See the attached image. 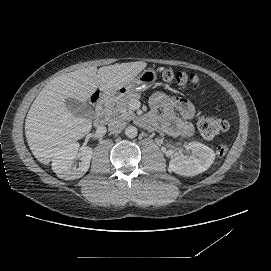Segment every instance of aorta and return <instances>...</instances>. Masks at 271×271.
Returning a JSON list of instances; mask_svg holds the SVG:
<instances>
[{
    "label": "aorta",
    "instance_id": "1",
    "mask_svg": "<svg viewBox=\"0 0 271 271\" xmlns=\"http://www.w3.org/2000/svg\"><path fill=\"white\" fill-rule=\"evenodd\" d=\"M138 134V130L136 127L134 126H127L126 129H125V135L128 137V138H135Z\"/></svg>",
    "mask_w": 271,
    "mask_h": 271
}]
</instances>
